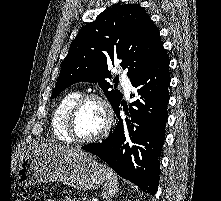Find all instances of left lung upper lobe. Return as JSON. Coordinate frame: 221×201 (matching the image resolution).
<instances>
[{
  "instance_id": "left-lung-upper-lobe-1",
  "label": "left lung upper lobe",
  "mask_w": 221,
  "mask_h": 201,
  "mask_svg": "<svg viewBox=\"0 0 221 201\" xmlns=\"http://www.w3.org/2000/svg\"><path fill=\"white\" fill-rule=\"evenodd\" d=\"M165 53L159 30L142 7L125 4L107 9L81 28L71 43L51 99L76 82H97L114 109L123 95L111 90L108 65L119 63L133 81Z\"/></svg>"
}]
</instances>
